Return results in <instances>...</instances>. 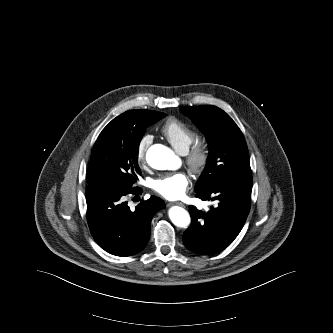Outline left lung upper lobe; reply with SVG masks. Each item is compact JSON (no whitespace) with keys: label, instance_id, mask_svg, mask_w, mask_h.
<instances>
[{"label":"left lung upper lobe","instance_id":"5c2ea615","mask_svg":"<svg viewBox=\"0 0 333 333\" xmlns=\"http://www.w3.org/2000/svg\"><path fill=\"white\" fill-rule=\"evenodd\" d=\"M180 110L204 132L209 143V157L195 192L215 187L221 182L251 175L248 148L244 136L230 116L215 106H187Z\"/></svg>","mask_w":333,"mask_h":333}]
</instances>
